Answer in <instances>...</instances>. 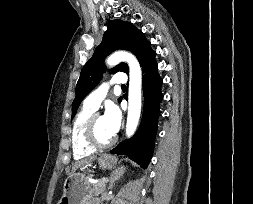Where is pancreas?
I'll return each instance as SVG.
<instances>
[{
    "label": "pancreas",
    "mask_w": 253,
    "mask_h": 204,
    "mask_svg": "<svg viewBox=\"0 0 253 204\" xmlns=\"http://www.w3.org/2000/svg\"><path fill=\"white\" fill-rule=\"evenodd\" d=\"M91 190L95 195H99L105 190V183L102 181L97 183H91Z\"/></svg>",
    "instance_id": "obj_1"
}]
</instances>
